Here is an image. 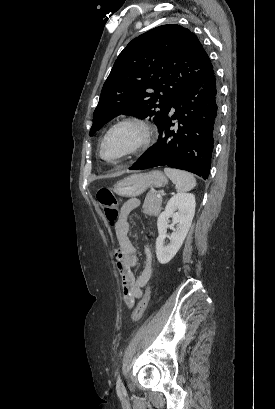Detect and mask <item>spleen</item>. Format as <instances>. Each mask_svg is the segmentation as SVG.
<instances>
[{"instance_id": "1", "label": "spleen", "mask_w": 275, "mask_h": 409, "mask_svg": "<svg viewBox=\"0 0 275 409\" xmlns=\"http://www.w3.org/2000/svg\"><path fill=\"white\" fill-rule=\"evenodd\" d=\"M164 172L173 184H176L177 192H186V190H191L193 186H196V180L190 172L177 170V168H164Z\"/></svg>"}]
</instances>
